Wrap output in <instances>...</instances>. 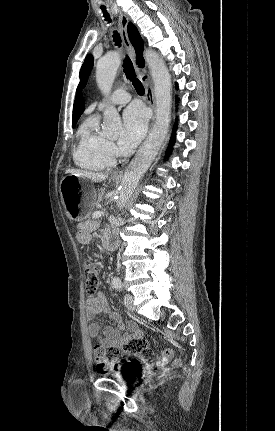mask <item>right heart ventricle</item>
Returning <instances> with one entry per match:
<instances>
[{
  "instance_id": "right-heart-ventricle-1",
  "label": "right heart ventricle",
  "mask_w": 275,
  "mask_h": 431,
  "mask_svg": "<svg viewBox=\"0 0 275 431\" xmlns=\"http://www.w3.org/2000/svg\"><path fill=\"white\" fill-rule=\"evenodd\" d=\"M78 144L74 151L75 163L84 169L101 171L115 164L114 156L108 150V140L99 130L97 115L88 116L80 125Z\"/></svg>"
}]
</instances>
